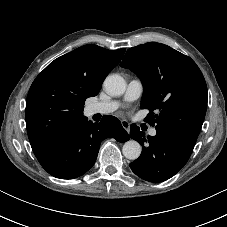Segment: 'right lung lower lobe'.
I'll list each match as a JSON object with an SVG mask.
<instances>
[{
    "label": "right lung lower lobe",
    "mask_w": 227,
    "mask_h": 227,
    "mask_svg": "<svg viewBox=\"0 0 227 227\" xmlns=\"http://www.w3.org/2000/svg\"><path fill=\"white\" fill-rule=\"evenodd\" d=\"M111 137L129 139L116 117L105 115L100 123L86 118L58 137L37 159L52 176L74 179L94 165L101 142Z\"/></svg>",
    "instance_id": "1"
}]
</instances>
